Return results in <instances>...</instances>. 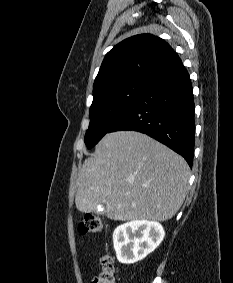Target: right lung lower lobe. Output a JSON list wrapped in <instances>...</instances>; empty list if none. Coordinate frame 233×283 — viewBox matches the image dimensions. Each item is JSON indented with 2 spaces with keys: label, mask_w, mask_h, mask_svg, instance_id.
I'll use <instances>...</instances> for the list:
<instances>
[{
  "label": "right lung lower lobe",
  "mask_w": 233,
  "mask_h": 283,
  "mask_svg": "<svg viewBox=\"0 0 233 283\" xmlns=\"http://www.w3.org/2000/svg\"><path fill=\"white\" fill-rule=\"evenodd\" d=\"M194 101L189 74L182 63L153 79L109 132L138 131L185 158L194 156Z\"/></svg>",
  "instance_id": "right-lung-lower-lobe-1"
}]
</instances>
